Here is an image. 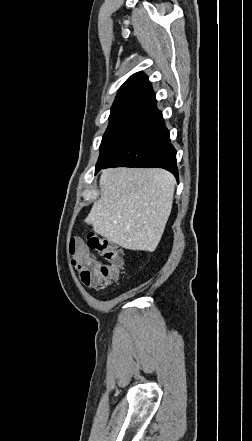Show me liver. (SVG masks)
Listing matches in <instances>:
<instances>
[{
	"label": "liver",
	"instance_id": "6515ba94",
	"mask_svg": "<svg viewBox=\"0 0 252 441\" xmlns=\"http://www.w3.org/2000/svg\"><path fill=\"white\" fill-rule=\"evenodd\" d=\"M175 185L174 176L164 169H105L100 199L85 221L125 249L152 252L170 216Z\"/></svg>",
	"mask_w": 252,
	"mask_h": 441
}]
</instances>
